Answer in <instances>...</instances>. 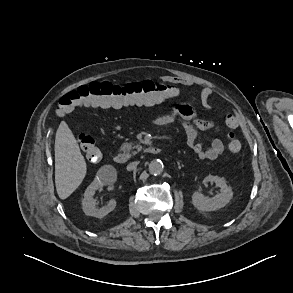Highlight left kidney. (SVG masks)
Segmentation results:
<instances>
[{"label": "left kidney", "instance_id": "left-kidney-1", "mask_svg": "<svg viewBox=\"0 0 293 293\" xmlns=\"http://www.w3.org/2000/svg\"><path fill=\"white\" fill-rule=\"evenodd\" d=\"M215 183L221 190L220 193L212 198L205 197L202 193L196 191L192 195V204L199 211H215L223 208L233 198L231 187L226 184L224 178L208 175L204 178L203 184Z\"/></svg>", "mask_w": 293, "mask_h": 293}]
</instances>
